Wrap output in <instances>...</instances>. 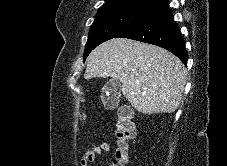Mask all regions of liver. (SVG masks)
Segmentation results:
<instances>
[{
  "mask_svg": "<svg viewBox=\"0 0 227 166\" xmlns=\"http://www.w3.org/2000/svg\"><path fill=\"white\" fill-rule=\"evenodd\" d=\"M94 77L119 80L124 97L143 114L172 113L182 101L186 68L161 47L115 38L88 56L84 78Z\"/></svg>",
  "mask_w": 227,
  "mask_h": 166,
  "instance_id": "liver-1",
  "label": "liver"
}]
</instances>
